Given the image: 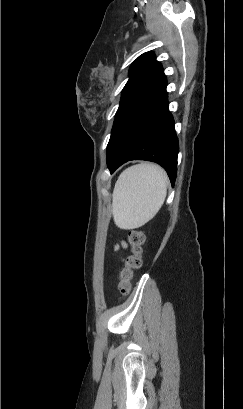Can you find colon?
I'll return each mask as SVG.
<instances>
[{
  "instance_id": "obj_1",
  "label": "colon",
  "mask_w": 243,
  "mask_h": 409,
  "mask_svg": "<svg viewBox=\"0 0 243 409\" xmlns=\"http://www.w3.org/2000/svg\"><path fill=\"white\" fill-rule=\"evenodd\" d=\"M129 243L131 244V255L126 260L125 267L120 274V290L123 296L127 295L132 287L134 271L141 266L142 246L145 242L143 231L134 230L128 234Z\"/></svg>"
}]
</instances>
